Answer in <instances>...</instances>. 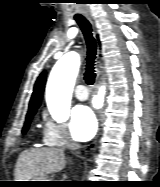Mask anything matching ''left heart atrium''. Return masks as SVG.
Returning a JSON list of instances; mask_svg holds the SVG:
<instances>
[{
	"instance_id": "obj_1",
	"label": "left heart atrium",
	"mask_w": 160,
	"mask_h": 187,
	"mask_svg": "<svg viewBox=\"0 0 160 187\" xmlns=\"http://www.w3.org/2000/svg\"><path fill=\"white\" fill-rule=\"evenodd\" d=\"M70 128L76 140L91 139L97 129V121L92 110L84 105L77 106L72 112Z\"/></svg>"
}]
</instances>
